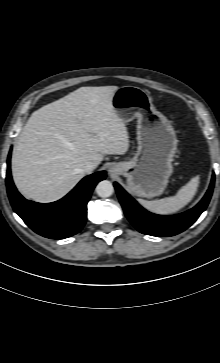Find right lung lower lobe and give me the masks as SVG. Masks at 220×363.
<instances>
[{"label": "right lung lower lobe", "mask_w": 220, "mask_h": 363, "mask_svg": "<svg viewBox=\"0 0 220 363\" xmlns=\"http://www.w3.org/2000/svg\"><path fill=\"white\" fill-rule=\"evenodd\" d=\"M11 151L7 159L6 185L14 211L36 233L46 238L64 239L78 233L86 222L87 203L95 185L105 179L101 171L83 178L64 198L53 203L26 200L17 191L10 172Z\"/></svg>", "instance_id": "1"}]
</instances>
